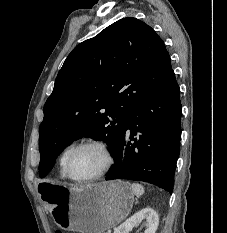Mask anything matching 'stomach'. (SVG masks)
<instances>
[{"label":"stomach","instance_id":"obj_1","mask_svg":"<svg viewBox=\"0 0 227 233\" xmlns=\"http://www.w3.org/2000/svg\"><path fill=\"white\" fill-rule=\"evenodd\" d=\"M40 196L59 227L80 233H103L115 227L134 204L131 186L121 180L82 188L43 182Z\"/></svg>","mask_w":227,"mask_h":233}]
</instances>
